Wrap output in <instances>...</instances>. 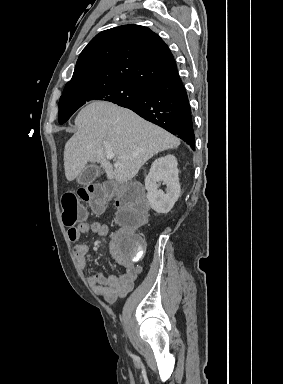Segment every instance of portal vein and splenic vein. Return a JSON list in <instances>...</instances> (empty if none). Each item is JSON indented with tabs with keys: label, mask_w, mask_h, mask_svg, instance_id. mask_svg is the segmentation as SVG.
<instances>
[{
	"label": "portal vein and splenic vein",
	"mask_w": 283,
	"mask_h": 384,
	"mask_svg": "<svg viewBox=\"0 0 283 384\" xmlns=\"http://www.w3.org/2000/svg\"><path fill=\"white\" fill-rule=\"evenodd\" d=\"M116 154H113V152H106V158L107 160H113V158H115ZM116 164H120L119 162V158H117V160H115Z\"/></svg>",
	"instance_id": "1"
}]
</instances>
